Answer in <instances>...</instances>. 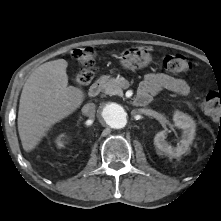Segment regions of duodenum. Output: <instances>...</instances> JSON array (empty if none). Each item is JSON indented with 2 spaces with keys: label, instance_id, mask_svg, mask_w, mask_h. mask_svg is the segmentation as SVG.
<instances>
[{
  "label": "duodenum",
  "instance_id": "1",
  "mask_svg": "<svg viewBox=\"0 0 221 221\" xmlns=\"http://www.w3.org/2000/svg\"><path fill=\"white\" fill-rule=\"evenodd\" d=\"M102 88V81L97 80L95 81L89 88V96L90 97H96L99 95ZM134 104L136 106H146L151 102V97L145 93H139L134 98Z\"/></svg>",
  "mask_w": 221,
  "mask_h": 221
}]
</instances>
